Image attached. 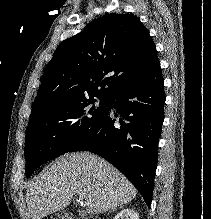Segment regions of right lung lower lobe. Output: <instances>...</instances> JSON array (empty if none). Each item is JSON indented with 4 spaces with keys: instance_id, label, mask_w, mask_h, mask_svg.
I'll return each instance as SVG.
<instances>
[{
    "instance_id": "right-lung-lower-lobe-1",
    "label": "right lung lower lobe",
    "mask_w": 211,
    "mask_h": 219,
    "mask_svg": "<svg viewBox=\"0 0 211 219\" xmlns=\"http://www.w3.org/2000/svg\"><path fill=\"white\" fill-rule=\"evenodd\" d=\"M164 81L159 61L143 76L125 85L110 99L95 128L69 152L89 151L120 170L150 206L164 121ZM114 108L117 113L111 114Z\"/></svg>"
}]
</instances>
